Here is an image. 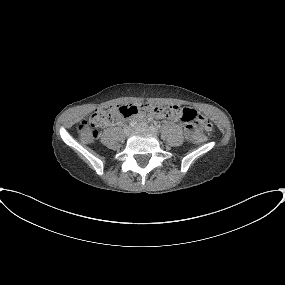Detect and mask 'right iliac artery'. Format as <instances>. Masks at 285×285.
I'll list each match as a JSON object with an SVG mask.
<instances>
[{"instance_id":"obj_1","label":"right iliac artery","mask_w":285,"mask_h":285,"mask_svg":"<svg viewBox=\"0 0 285 285\" xmlns=\"http://www.w3.org/2000/svg\"><path fill=\"white\" fill-rule=\"evenodd\" d=\"M136 124H137V122L133 121V122L130 123V126L134 127Z\"/></svg>"}]
</instances>
